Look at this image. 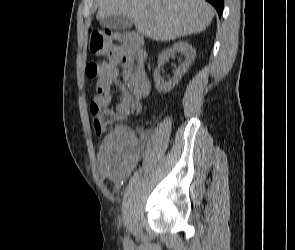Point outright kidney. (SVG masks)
<instances>
[{"instance_id": "right-kidney-1", "label": "right kidney", "mask_w": 295, "mask_h": 250, "mask_svg": "<svg viewBox=\"0 0 295 250\" xmlns=\"http://www.w3.org/2000/svg\"><path fill=\"white\" fill-rule=\"evenodd\" d=\"M176 53H181L185 56L182 64L175 70L174 77L169 81H164L160 76V67L164 65L170 57L174 56ZM196 56L195 49L187 42L179 41L174 43L170 48L161 52L158 57V68L155 69L153 78L155 82V87L160 93H167L178 84L182 76L187 72L191 63L194 61Z\"/></svg>"}]
</instances>
